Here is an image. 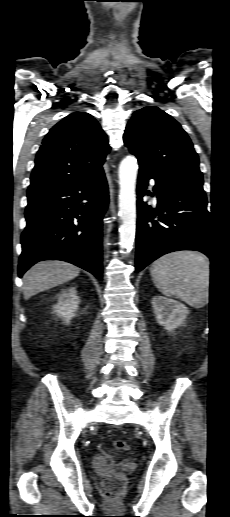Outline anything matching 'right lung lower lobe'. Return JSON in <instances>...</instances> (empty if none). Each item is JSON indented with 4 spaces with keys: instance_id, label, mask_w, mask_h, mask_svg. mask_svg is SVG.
Returning a JSON list of instances; mask_svg holds the SVG:
<instances>
[{
    "instance_id": "1",
    "label": "right lung lower lobe",
    "mask_w": 230,
    "mask_h": 517,
    "mask_svg": "<svg viewBox=\"0 0 230 517\" xmlns=\"http://www.w3.org/2000/svg\"><path fill=\"white\" fill-rule=\"evenodd\" d=\"M108 197L103 171L72 185L28 195L19 277L36 262L53 259L102 279V219Z\"/></svg>"
}]
</instances>
